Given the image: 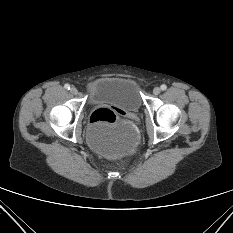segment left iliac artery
<instances>
[{
	"label": "left iliac artery",
	"mask_w": 233,
	"mask_h": 233,
	"mask_svg": "<svg viewBox=\"0 0 233 233\" xmlns=\"http://www.w3.org/2000/svg\"><path fill=\"white\" fill-rule=\"evenodd\" d=\"M160 88H161L162 91H164V90L167 89V86H166L165 84H162V85L160 86Z\"/></svg>",
	"instance_id": "1"
}]
</instances>
